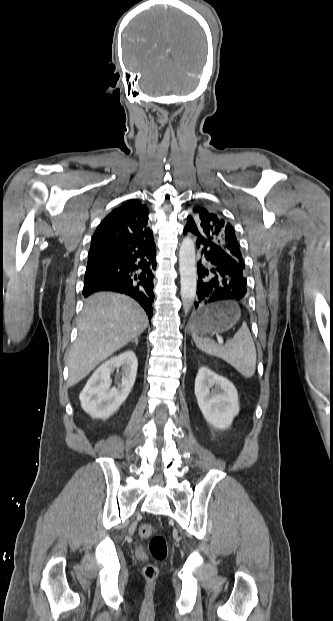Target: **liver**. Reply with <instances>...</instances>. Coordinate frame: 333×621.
<instances>
[{
    "mask_svg": "<svg viewBox=\"0 0 333 621\" xmlns=\"http://www.w3.org/2000/svg\"><path fill=\"white\" fill-rule=\"evenodd\" d=\"M147 326L146 313L129 297L111 292L88 297L78 324V338L67 356L68 384H77Z\"/></svg>",
    "mask_w": 333,
    "mask_h": 621,
    "instance_id": "liver-1",
    "label": "liver"
}]
</instances>
